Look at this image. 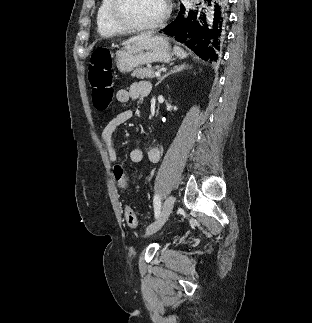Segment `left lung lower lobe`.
<instances>
[{"instance_id":"obj_1","label":"left lung lower lobe","mask_w":312,"mask_h":323,"mask_svg":"<svg viewBox=\"0 0 312 323\" xmlns=\"http://www.w3.org/2000/svg\"><path fill=\"white\" fill-rule=\"evenodd\" d=\"M206 1V8L200 11H188L182 6L176 19L162 32L184 43L202 59L216 61L226 35L227 3Z\"/></svg>"}]
</instances>
